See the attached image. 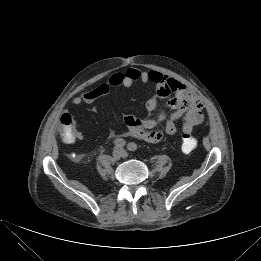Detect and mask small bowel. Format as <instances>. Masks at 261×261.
<instances>
[{
    "label": "small bowel",
    "instance_id": "small-bowel-1",
    "mask_svg": "<svg viewBox=\"0 0 261 261\" xmlns=\"http://www.w3.org/2000/svg\"><path fill=\"white\" fill-rule=\"evenodd\" d=\"M135 82H152L155 84V92L146 102V109L149 112L157 109L161 99H167L166 107L173 110V113L167 116L166 112L162 110L155 117L144 119L127 115L124 118L126 129L118 135L156 143L164 137V132L156 130V127L162 122L165 123L164 131L168 135L177 133L179 121H182L181 129L183 133H191L195 126L203 122V105L199 96L183 83L156 70L141 71L130 67L125 71L115 72L106 82L74 97L72 103L75 106L90 104L106 96L112 88L130 87ZM81 138L82 134L76 131L74 141Z\"/></svg>",
    "mask_w": 261,
    "mask_h": 261
}]
</instances>
